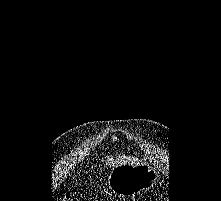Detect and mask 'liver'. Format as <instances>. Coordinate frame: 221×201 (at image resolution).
I'll use <instances>...</instances> for the list:
<instances>
[{
  "mask_svg": "<svg viewBox=\"0 0 221 201\" xmlns=\"http://www.w3.org/2000/svg\"><path fill=\"white\" fill-rule=\"evenodd\" d=\"M135 162V158L130 156L118 157V158H110L108 159V164L115 167L121 164Z\"/></svg>",
  "mask_w": 221,
  "mask_h": 201,
  "instance_id": "liver-1",
  "label": "liver"
}]
</instances>
